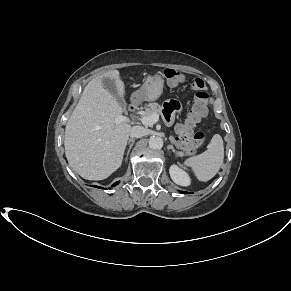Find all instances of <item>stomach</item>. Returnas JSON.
<instances>
[{"label": "stomach", "mask_w": 291, "mask_h": 291, "mask_svg": "<svg viewBox=\"0 0 291 291\" xmlns=\"http://www.w3.org/2000/svg\"><path fill=\"white\" fill-rule=\"evenodd\" d=\"M164 80L160 75L148 76L139 90L133 93L132 99L139 101L157 100L163 93Z\"/></svg>", "instance_id": "1"}]
</instances>
